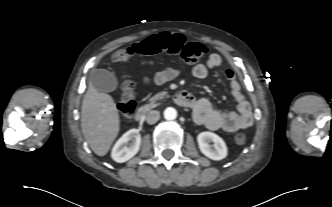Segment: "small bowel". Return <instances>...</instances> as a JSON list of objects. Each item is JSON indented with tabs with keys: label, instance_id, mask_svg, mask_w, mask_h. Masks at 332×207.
<instances>
[{
	"label": "small bowel",
	"instance_id": "1",
	"mask_svg": "<svg viewBox=\"0 0 332 207\" xmlns=\"http://www.w3.org/2000/svg\"><path fill=\"white\" fill-rule=\"evenodd\" d=\"M221 65V58L216 54H211L206 63H199L193 67V75L198 79L207 77L210 70L216 69ZM179 74L176 68H165L156 73L152 78L146 80L157 86L174 79ZM225 77L229 82L232 97L237 103V113L224 112L212 107L211 103L204 98L197 99L191 107L194 119L198 124L206 126L210 130H223L235 132L248 128L252 125V109L246 100L236 74L232 69L225 70Z\"/></svg>",
	"mask_w": 332,
	"mask_h": 207
}]
</instances>
